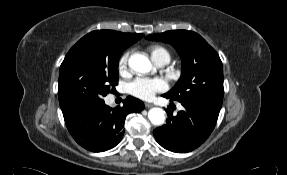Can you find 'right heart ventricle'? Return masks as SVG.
<instances>
[{"label":"right heart ventricle","mask_w":287,"mask_h":175,"mask_svg":"<svg viewBox=\"0 0 287 175\" xmlns=\"http://www.w3.org/2000/svg\"><path fill=\"white\" fill-rule=\"evenodd\" d=\"M150 53H151V56L153 58L154 61L162 58V57H166L170 60V53L169 51L162 47V46H153L151 49H150Z\"/></svg>","instance_id":"1"}]
</instances>
